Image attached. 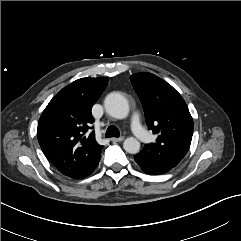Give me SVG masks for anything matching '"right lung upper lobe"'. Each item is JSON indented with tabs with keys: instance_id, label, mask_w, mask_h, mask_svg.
Instances as JSON below:
<instances>
[{
	"instance_id": "right-lung-upper-lobe-1",
	"label": "right lung upper lobe",
	"mask_w": 241,
	"mask_h": 241,
	"mask_svg": "<svg viewBox=\"0 0 241 241\" xmlns=\"http://www.w3.org/2000/svg\"><path fill=\"white\" fill-rule=\"evenodd\" d=\"M108 84V79L81 78L49 102L38 122V141L46 158L64 175L97 162L102 147L94 132L87 134L94 119L91 108Z\"/></svg>"
}]
</instances>
